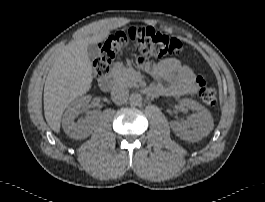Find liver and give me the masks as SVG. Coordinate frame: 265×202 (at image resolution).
Instances as JSON below:
<instances>
[{
  "label": "liver",
  "instance_id": "6515ba94",
  "mask_svg": "<svg viewBox=\"0 0 265 202\" xmlns=\"http://www.w3.org/2000/svg\"><path fill=\"white\" fill-rule=\"evenodd\" d=\"M108 34L106 31L73 41L54 58L44 86V115L54 132H60L61 117L69 104L91 88L93 76L88 45L101 42Z\"/></svg>",
  "mask_w": 265,
  "mask_h": 202
}]
</instances>
